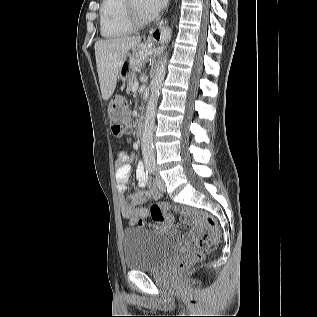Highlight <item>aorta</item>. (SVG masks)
<instances>
[{
	"label": "aorta",
	"mask_w": 317,
	"mask_h": 317,
	"mask_svg": "<svg viewBox=\"0 0 317 317\" xmlns=\"http://www.w3.org/2000/svg\"><path fill=\"white\" fill-rule=\"evenodd\" d=\"M167 53L161 58L159 65L155 70V76L151 81V95L146 108V115L142 133V154L144 163L148 167L155 165V155L153 146V134L157 100L160 89L166 74Z\"/></svg>",
	"instance_id": "1"
}]
</instances>
